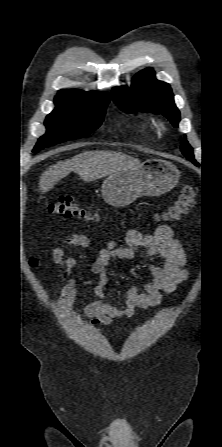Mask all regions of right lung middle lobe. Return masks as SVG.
<instances>
[{
	"label": "right lung middle lobe",
	"mask_w": 222,
	"mask_h": 447,
	"mask_svg": "<svg viewBox=\"0 0 222 447\" xmlns=\"http://www.w3.org/2000/svg\"><path fill=\"white\" fill-rule=\"evenodd\" d=\"M110 99H79L57 95L56 108L46 117L47 132L39 138L33 152L70 139L84 137L103 121Z\"/></svg>",
	"instance_id": "1"
}]
</instances>
